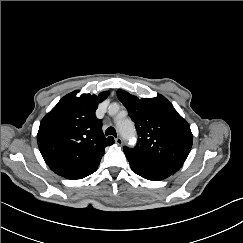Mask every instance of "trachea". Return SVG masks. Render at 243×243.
<instances>
[{"mask_svg": "<svg viewBox=\"0 0 243 243\" xmlns=\"http://www.w3.org/2000/svg\"><path fill=\"white\" fill-rule=\"evenodd\" d=\"M106 136L112 135L114 137L117 136L116 130L113 127H108L105 131Z\"/></svg>", "mask_w": 243, "mask_h": 243, "instance_id": "3493384b", "label": "trachea"}]
</instances>
